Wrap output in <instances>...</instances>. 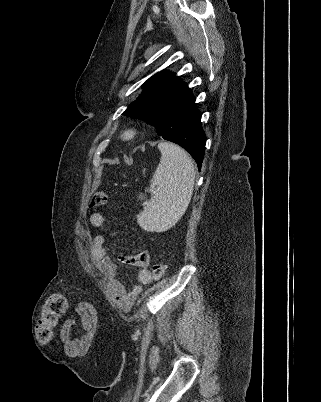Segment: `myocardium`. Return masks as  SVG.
Instances as JSON below:
<instances>
[{
	"mask_svg": "<svg viewBox=\"0 0 321 402\" xmlns=\"http://www.w3.org/2000/svg\"><path fill=\"white\" fill-rule=\"evenodd\" d=\"M138 134V131L135 127H127L121 133V138L125 141L133 140Z\"/></svg>",
	"mask_w": 321,
	"mask_h": 402,
	"instance_id": "1",
	"label": "myocardium"
}]
</instances>
